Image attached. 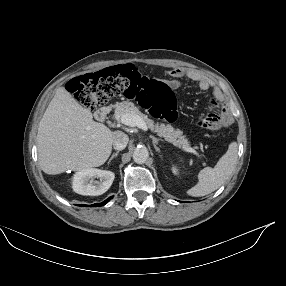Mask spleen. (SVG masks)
I'll list each match as a JSON object with an SVG mask.
<instances>
[{"label":"spleen","mask_w":286,"mask_h":286,"mask_svg":"<svg viewBox=\"0 0 286 286\" xmlns=\"http://www.w3.org/2000/svg\"><path fill=\"white\" fill-rule=\"evenodd\" d=\"M237 152V143L232 142L214 168L206 167L199 172L198 183L189 189L187 194L200 197L217 190L232 174L237 162Z\"/></svg>","instance_id":"obj_1"}]
</instances>
